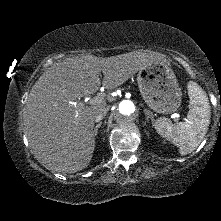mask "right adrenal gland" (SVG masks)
I'll return each mask as SVG.
<instances>
[{"label":"right adrenal gland","mask_w":221,"mask_h":221,"mask_svg":"<svg viewBox=\"0 0 221 221\" xmlns=\"http://www.w3.org/2000/svg\"><path fill=\"white\" fill-rule=\"evenodd\" d=\"M101 125H102V122H99V123L95 126V128H94V136H97L98 129L101 127Z\"/></svg>","instance_id":"obj_1"}]
</instances>
